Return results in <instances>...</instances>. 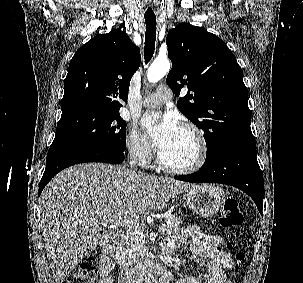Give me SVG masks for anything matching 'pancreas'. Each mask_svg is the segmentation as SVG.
<instances>
[{
  "label": "pancreas",
  "instance_id": "obj_1",
  "mask_svg": "<svg viewBox=\"0 0 303 283\" xmlns=\"http://www.w3.org/2000/svg\"><path fill=\"white\" fill-rule=\"evenodd\" d=\"M169 221L165 224L166 234L170 235L174 232L180 230L181 219L175 215H169L167 217ZM143 230L140 227L132 226V228L127 229L121 238L116 243V254L118 265L122 269H128L132 267L135 263L141 260L146 255V248L144 246Z\"/></svg>",
  "mask_w": 303,
  "mask_h": 283
}]
</instances>
